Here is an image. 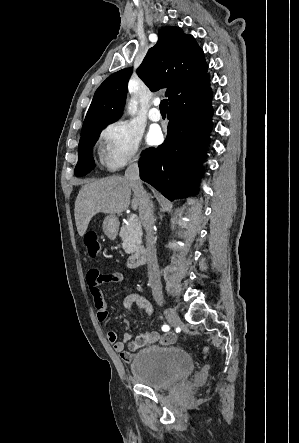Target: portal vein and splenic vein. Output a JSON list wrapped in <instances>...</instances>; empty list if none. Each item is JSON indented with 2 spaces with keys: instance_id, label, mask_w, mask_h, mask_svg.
Instances as JSON below:
<instances>
[{
  "instance_id": "1",
  "label": "portal vein and splenic vein",
  "mask_w": 299,
  "mask_h": 443,
  "mask_svg": "<svg viewBox=\"0 0 299 443\" xmlns=\"http://www.w3.org/2000/svg\"><path fill=\"white\" fill-rule=\"evenodd\" d=\"M138 220V218H137V216L136 215H131L130 217H129V222H135V221H137Z\"/></svg>"
}]
</instances>
